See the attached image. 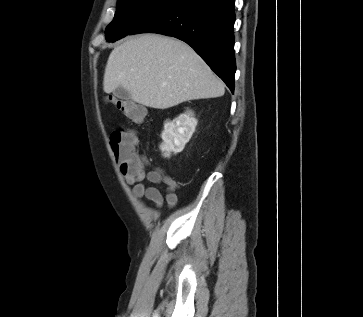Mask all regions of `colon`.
<instances>
[{
  "mask_svg": "<svg viewBox=\"0 0 363 317\" xmlns=\"http://www.w3.org/2000/svg\"><path fill=\"white\" fill-rule=\"evenodd\" d=\"M109 100L117 105L118 110L130 121L142 123L145 118V109L138 103L109 97ZM137 136L132 131L123 128H116L109 136V146L121 168L139 169L143 164V159L136 152Z\"/></svg>",
  "mask_w": 363,
  "mask_h": 317,
  "instance_id": "1",
  "label": "colon"
}]
</instances>
